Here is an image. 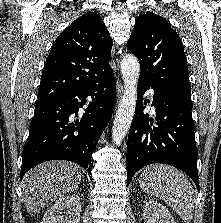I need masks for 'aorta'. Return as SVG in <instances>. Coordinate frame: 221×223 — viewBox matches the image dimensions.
Returning <instances> with one entry per match:
<instances>
[{
	"label": "aorta",
	"instance_id": "aorta-1",
	"mask_svg": "<svg viewBox=\"0 0 221 223\" xmlns=\"http://www.w3.org/2000/svg\"><path fill=\"white\" fill-rule=\"evenodd\" d=\"M121 74L124 80V92L112 127V139L115 145H120L126 137L135 113L140 65L134 55L128 54L123 57Z\"/></svg>",
	"mask_w": 221,
	"mask_h": 223
}]
</instances>
